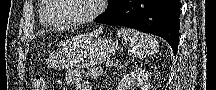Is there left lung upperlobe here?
<instances>
[{"mask_svg": "<svg viewBox=\"0 0 216 90\" xmlns=\"http://www.w3.org/2000/svg\"><path fill=\"white\" fill-rule=\"evenodd\" d=\"M108 2L110 4V9H111L118 4L119 0H109Z\"/></svg>", "mask_w": 216, "mask_h": 90, "instance_id": "left-lung-upper-lobe-1", "label": "left lung upper lobe"}]
</instances>
